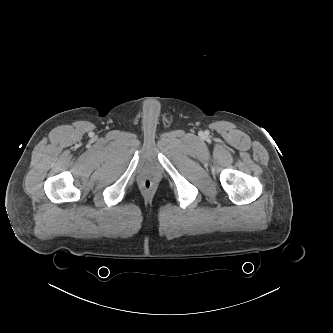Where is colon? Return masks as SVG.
<instances>
[{
	"label": "colon",
	"mask_w": 333,
	"mask_h": 333,
	"mask_svg": "<svg viewBox=\"0 0 333 333\" xmlns=\"http://www.w3.org/2000/svg\"><path fill=\"white\" fill-rule=\"evenodd\" d=\"M142 185H143V187H144L145 189H148V190H149V189L152 188L153 183H152L151 180L146 179V180L143 181Z\"/></svg>",
	"instance_id": "colon-1"
}]
</instances>
